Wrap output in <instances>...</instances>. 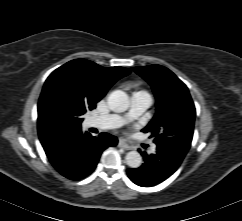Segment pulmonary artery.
Listing matches in <instances>:
<instances>
[{"mask_svg": "<svg viewBox=\"0 0 242 221\" xmlns=\"http://www.w3.org/2000/svg\"><path fill=\"white\" fill-rule=\"evenodd\" d=\"M152 104V98L144 92H134L131 96V104L128 112L124 115L111 114L107 116L93 117L89 125L101 130H111L122 126L124 123L141 115ZM155 145L151 150L154 151Z\"/></svg>", "mask_w": 242, "mask_h": 221, "instance_id": "pulmonary-artery-1", "label": "pulmonary artery"}]
</instances>
